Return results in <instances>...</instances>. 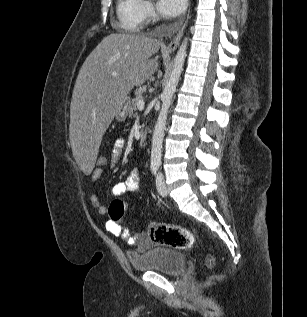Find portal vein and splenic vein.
Masks as SVG:
<instances>
[{
    "instance_id": "18ae733b",
    "label": "portal vein and splenic vein",
    "mask_w": 307,
    "mask_h": 317,
    "mask_svg": "<svg viewBox=\"0 0 307 317\" xmlns=\"http://www.w3.org/2000/svg\"><path fill=\"white\" fill-rule=\"evenodd\" d=\"M144 106H145L144 100H139L138 103H137V109L139 111H142L144 109Z\"/></svg>"
}]
</instances>
